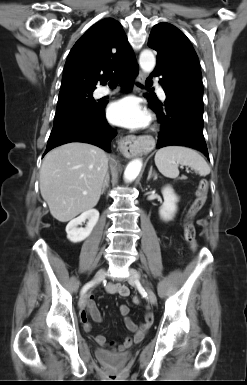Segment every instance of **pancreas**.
<instances>
[{
  "instance_id": "obj_1",
  "label": "pancreas",
  "mask_w": 247,
  "mask_h": 385,
  "mask_svg": "<svg viewBox=\"0 0 247 385\" xmlns=\"http://www.w3.org/2000/svg\"><path fill=\"white\" fill-rule=\"evenodd\" d=\"M181 179H185V177L183 176V177H181Z\"/></svg>"
}]
</instances>
